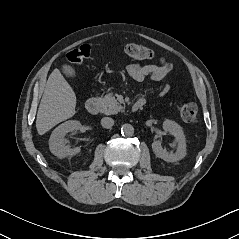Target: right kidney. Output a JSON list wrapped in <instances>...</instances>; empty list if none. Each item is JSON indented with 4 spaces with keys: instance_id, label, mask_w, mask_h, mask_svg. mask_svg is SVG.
Masks as SVG:
<instances>
[{
    "instance_id": "obj_1",
    "label": "right kidney",
    "mask_w": 239,
    "mask_h": 239,
    "mask_svg": "<svg viewBox=\"0 0 239 239\" xmlns=\"http://www.w3.org/2000/svg\"><path fill=\"white\" fill-rule=\"evenodd\" d=\"M81 123L76 120H69L54 129L49 139V148L53 155L58 158H64L66 156H72L80 152V148H69L66 145L65 136L69 132L79 131L81 129Z\"/></svg>"
}]
</instances>
